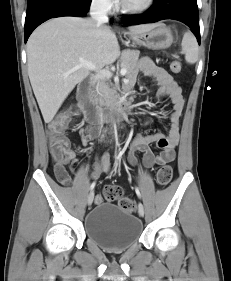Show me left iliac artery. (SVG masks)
<instances>
[{
  "label": "left iliac artery",
  "mask_w": 231,
  "mask_h": 281,
  "mask_svg": "<svg viewBox=\"0 0 231 281\" xmlns=\"http://www.w3.org/2000/svg\"><path fill=\"white\" fill-rule=\"evenodd\" d=\"M135 191H136L137 196L139 198H141V193H140V191H139V189L137 187L135 188Z\"/></svg>",
  "instance_id": "obj_1"
}]
</instances>
